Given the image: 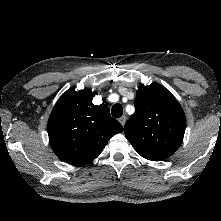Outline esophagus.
<instances>
[{
  "label": "esophagus",
  "instance_id": "obj_1",
  "mask_svg": "<svg viewBox=\"0 0 221 221\" xmlns=\"http://www.w3.org/2000/svg\"><path fill=\"white\" fill-rule=\"evenodd\" d=\"M126 120H127V117H126V116H122V117L119 118V122L121 123L122 126L125 125Z\"/></svg>",
  "mask_w": 221,
  "mask_h": 221
}]
</instances>
